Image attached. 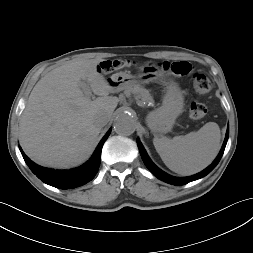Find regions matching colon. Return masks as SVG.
Returning a JSON list of instances; mask_svg holds the SVG:
<instances>
[{"mask_svg":"<svg viewBox=\"0 0 253 253\" xmlns=\"http://www.w3.org/2000/svg\"><path fill=\"white\" fill-rule=\"evenodd\" d=\"M132 63L127 60H112L105 61L100 68L105 73H111L122 68L129 67ZM161 68L177 76L191 75V86L194 92L198 95L207 94L211 88V81L203 73L193 72L191 64L187 61L163 62ZM207 107L204 103L193 101L190 105L189 114L192 120L199 121L205 117Z\"/></svg>","mask_w":253,"mask_h":253,"instance_id":"1","label":"colon"}]
</instances>
